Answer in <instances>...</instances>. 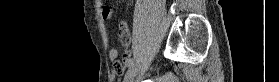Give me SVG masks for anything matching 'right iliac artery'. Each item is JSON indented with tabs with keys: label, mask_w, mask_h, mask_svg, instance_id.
Returning <instances> with one entry per match:
<instances>
[{
	"label": "right iliac artery",
	"mask_w": 279,
	"mask_h": 82,
	"mask_svg": "<svg viewBox=\"0 0 279 82\" xmlns=\"http://www.w3.org/2000/svg\"><path fill=\"white\" fill-rule=\"evenodd\" d=\"M134 62H135L134 60H131V61L128 63V67H129V68L133 67Z\"/></svg>",
	"instance_id": "82829eb1"
}]
</instances>
